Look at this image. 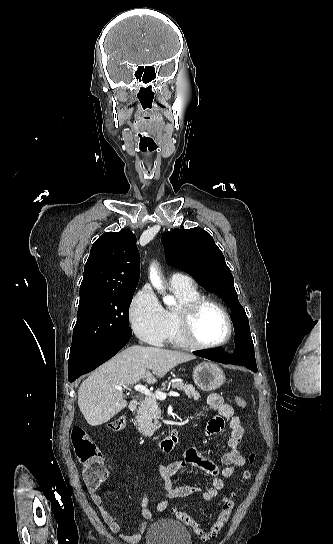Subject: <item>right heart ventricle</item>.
<instances>
[{"instance_id":"right-heart-ventricle-1","label":"right heart ventricle","mask_w":333,"mask_h":544,"mask_svg":"<svg viewBox=\"0 0 333 544\" xmlns=\"http://www.w3.org/2000/svg\"><path fill=\"white\" fill-rule=\"evenodd\" d=\"M172 290L178 299V306L165 310L168 320L167 341L176 347H188L189 345L181 337L176 312L182 304L197 299L201 297V295L195 286L172 287Z\"/></svg>"}]
</instances>
